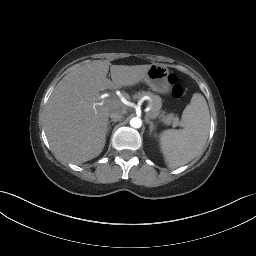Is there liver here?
Returning <instances> with one entry per match:
<instances>
[{
    "instance_id": "liver-1",
    "label": "liver",
    "mask_w": 256,
    "mask_h": 256,
    "mask_svg": "<svg viewBox=\"0 0 256 256\" xmlns=\"http://www.w3.org/2000/svg\"><path fill=\"white\" fill-rule=\"evenodd\" d=\"M150 67L111 65L102 60L86 63L64 76L53 90L44 115L45 132L55 157L80 164L99 156L112 110L102 104L100 91L135 85ZM109 68L112 81L106 77Z\"/></svg>"
}]
</instances>
